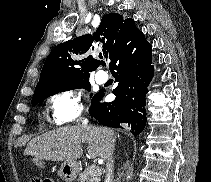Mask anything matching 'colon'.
Here are the masks:
<instances>
[{
  "label": "colon",
  "instance_id": "1",
  "mask_svg": "<svg viewBox=\"0 0 211 182\" xmlns=\"http://www.w3.org/2000/svg\"><path fill=\"white\" fill-rule=\"evenodd\" d=\"M36 182H56L55 179L52 178H46V179H38Z\"/></svg>",
  "mask_w": 211,
  "mask_h": 182
}]
</instances>
